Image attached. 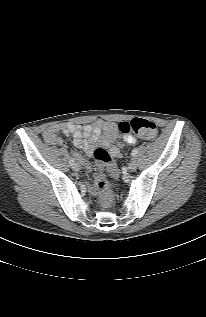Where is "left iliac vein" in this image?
<instances>
[{"label": "left iliac vein", "mask_w": 206, "mask_h": 317, "mask_svg": "<svg viewBox=\"0 0 206 317\" xmlns=\"http://www.w3.org/2000/svg\"><path fill=\"white\" fill-rule=\"evenodd\" d=\"M136 168H137V161L135 158H133L128 164V170L130 172H133L136 170Z\"/></svg>", "instance_id": "1"}]
</instances>
